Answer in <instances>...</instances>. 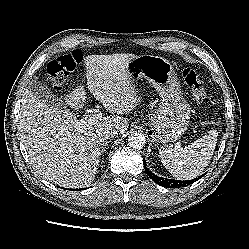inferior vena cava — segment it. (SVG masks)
<instances>
[{"label": "inferior vena cava", "instance_id": "obj_1", "mask_svg": "<svg viewBox=\"0 0 249 249\" xmlns=\"http://www.w3.org/2000/svg\"><path fill=\"white\" fill-rule=\"evenodd\" d=\"M118 134V130L115 128H108L103 131V136L105 139H110Z\"/></svg>", "mask_w": 249, "mask_h": 249}]
</instances>
